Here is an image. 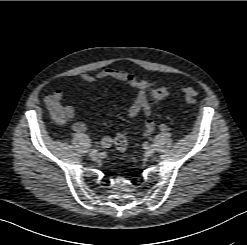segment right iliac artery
Returning <instances> with one entry per match:
<instances>
[{
    "instance_id": "obj_1",
    "label": "right iliac artery",
    "mask_w": 247,
    "mask_h": 245,
    "mask_svg": "<svg viewBox=\"0 0 247 245\" xmlns=\"http://www.w3.org/2000/svg\"><path fill=\"white\" fill-rule=\"evenodd\" d=\"M91 151H92V152H97L98 150L94 148V149H92Z\"/></svg>"
}]
</instances>
